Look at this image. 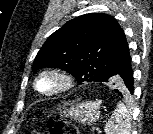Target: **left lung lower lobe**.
<instances>
[{
    "label": "left lung lower lobe",
    "instance_id": "0a47b994",
    "mask_svg": "<svg viewBox=\"0 0 153 134\" xmlns=\"http://www.w3.org/2000/svg\"><path fill=\"white\" fill-rule=\"evenodd\" d=\"M116 76L121 84L124 86V91L115 90L120 96L129 95L133 93L134 86H133V69L131 67V59L130 61L122 68H120L116 72Z\"/></svg>",
    "mask_w": 153,
    "mask_h": 134
}]
</instances>
